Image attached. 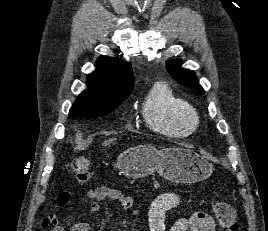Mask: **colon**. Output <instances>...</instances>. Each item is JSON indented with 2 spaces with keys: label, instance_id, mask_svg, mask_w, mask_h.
<instances>
[{
  "label": "colon",
  "instance_id": "5ec220e1",
  "mask_svg": "<svg viewBox=\"0 0 268 231\" xmlns=\"http://www.w3.org/2000/svg\"><path fill=\"white\" fill-rule=\"evenodd\" d=\"M92 159L87 156L76 158L70 164V172L79 180L86 181L91 173ZM212 210L222 231H240L234 208L223 201L212 202Z\"/></svg>",
  "mask_w": 268,
  "mask_h": 231
}]
</instances>
